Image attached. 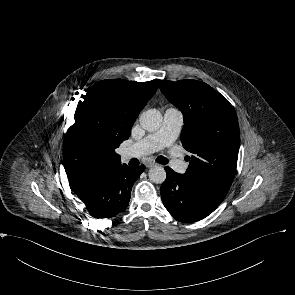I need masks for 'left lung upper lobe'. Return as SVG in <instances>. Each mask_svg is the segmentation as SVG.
<instances>
[{
    "label": "left lung upper lobe",
    "mask_w": 295,
    "mask_h": 295,
    "mask_svg": "<svg viewBox=\"0 0 295 295\" xmlns=\"http://www.w3.org/2000/svg\"><path fill=\"white\" fill-rule=\"evenodd\" d=\"M160 90L183 113L181 142L192 153L183 175L208 198L221 203L235 176L240 145L233 106L196 80H162Z\"/></svg>",
    "instance_id": "1"
}]
</instances>
